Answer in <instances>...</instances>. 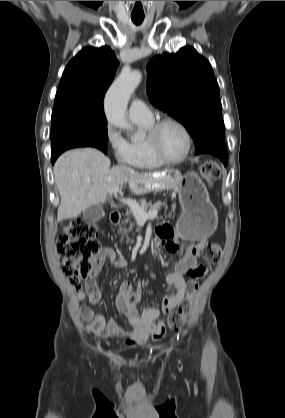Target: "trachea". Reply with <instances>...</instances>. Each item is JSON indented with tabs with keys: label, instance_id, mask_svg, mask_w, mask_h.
Instances as JSON below:
<instances>
[{
	"label": "trachea",
	"instance_id": "1",
	"mask_svg": "<svg viewBox=\"0 0 285 418\" xmlns=\"http://www.w3.org/2000/svg\"><path fill=\"white\" fill-rule=\"evenodd\" d=\"M132 18V21L136 24V25H139V24H141L142 22H143V20H144V17H131Z\"/></svg>",
	"mask_w": 285,
	"mask_h": 418
}]
</instances>
